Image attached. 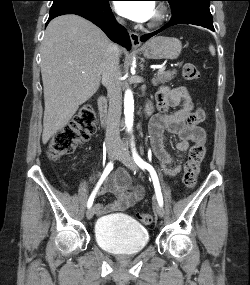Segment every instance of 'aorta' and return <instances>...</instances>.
Wrapping results in <instances>:
<instances>
[{
  "label": "aorta",
  "mask_w": 250,
  "mask_h": 285,
  "mask_svg": "<svg viewBox=\"0 0 250 285\" xmlns=\"http://www.w3.org/2000/svg\"><path fill=\"white\" fill-rule=\"evenodd\" d=\"M124 114H125V124L128 131L132 130L133 127V117H134V99L133 94L130 89H127L124 97Z\"/></svg>",
  "instance_id": "aorta-1"
}]
</instances>
